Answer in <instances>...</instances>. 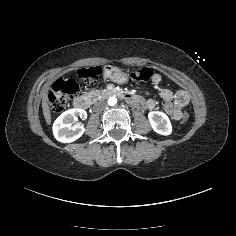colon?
<instances>
[{"label": "colon", "instance_id": "1", "mask_svg": "<svg viewBox=\"0 0 236 236\" xmlns=\"http://www.w3.org/2000/svg\"><path fill=\"white\" fill-rule=\"evenodd\" d=\"M101 73L99 67L83 68L76 72V74L67 79L56 80L49 92L48 102L51 109L54 112H62L68 105L70 99H72L79 91V84L81 81L93 83L97 80ZM153 70L150 68H139L131 73L132 79L137 82H148L153 81L154 78ZM190 115L188 112H184L181 115V120L186 122Z\"/></svg>", "mask_w": 236, "mask_h": 236}]
</instances>
